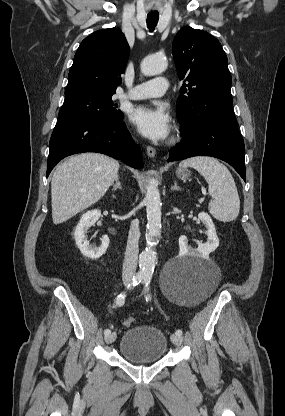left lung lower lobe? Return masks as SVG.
<instances>
[{"instance_id":"0a47b994","label":"left lung lower lobe","mask_w":285,"mask_h":416,"mask_svg":"<svg viewBox=\"0 0 285 416\" xmlns=\"http://www.w3.org/2000/svg\"><path fill=\"white\" fill-rule=\"evenodd\" d=\"M167 162L193 156H212L229 163L246 181L245 146L235 119H217L182 133Z\"/></svg>"}]
</instances>
